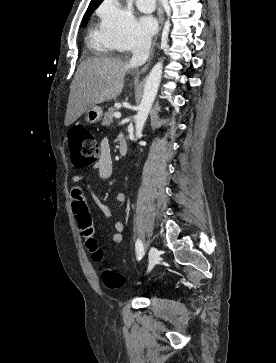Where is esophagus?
Listing matches in <instances>:
<instances>
[{
  "mask_svg": "<svg viewBox=\"0 0 276 363\" xmlns=\"http://www.w3.org/2000/svg\"><path fill=\"white\" fill-rule=\"evenodd\" d=\"M163 21H164V10H163V7H162V3H161V0H159V22H160V28L162 27L163 25ZM148 67V64L145 65L143 68H142V72H144Z\"/></svg>",
  "mask_w": 276,
  "mask_h": 363,
  "instance_id": "34e87169",
  "label": "esophagus"
}]
</instances>
